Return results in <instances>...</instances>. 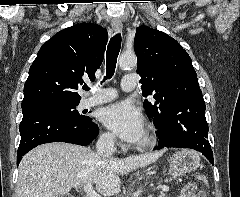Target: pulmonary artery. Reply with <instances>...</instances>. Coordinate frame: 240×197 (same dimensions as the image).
<instances>
[{"mask_svg": "<svg viewBox=\"0 0 240 197\" xmlns=\"http://www.w3.org/2000/svg\"><path fill=\"white\" fill-rule=\"evenodd\" d=\"M136 75H125L121 81V88L125 92L132 91L136 87ZM117 97L113 89H96V93L86 99V106L92 107L110 102Z\"/></svg>", "mask_w": 240, "mask_h": 197, "instance_id": "obj_1", "label": "pulmonary artery"}]
</instances>
